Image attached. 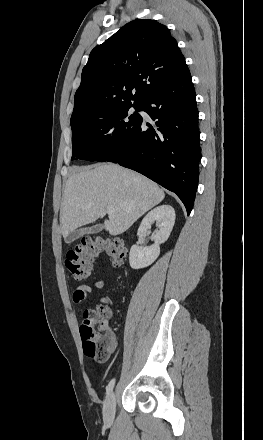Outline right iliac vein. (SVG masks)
<instances>
[{
	"label": "right iliac vein",
	"mask_w": 263,
	"mask_h": 440,
	"mask_svg": "<svg viewBox=\"0 0 263 440\" xmlns=\"http://www.w3.org/2000/svg\"><path fill=\"white\" fill-rule=\"evenodd\" d=\"M116 393L112 392L107 397L103 407V420L107 426L114 423L115 418Z\"/></svg>",
	"instance_id": "obj_1"
}]
</instances>
